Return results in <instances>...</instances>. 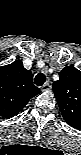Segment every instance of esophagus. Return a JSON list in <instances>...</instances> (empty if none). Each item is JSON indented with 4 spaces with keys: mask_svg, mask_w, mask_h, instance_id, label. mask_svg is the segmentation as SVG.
Returning <instances> with one entry per match:
<instances>
[{
    "mask_svg": "<svg viewBox=\"0 0 81 155\" xmlns=\"http://www.w3.org/2000/svg\"><path fill=\"white\" fill-rule=\"evenodd\" d=\"M51 89V84L49 82L45 83L42 87V91H49Z\"/></svg>",
    "mask_w": 81,
    "mask_h": 155,
    "instance_id": "34e87169",
    "label": "esophagus"
}]
</instances>
